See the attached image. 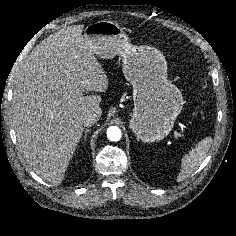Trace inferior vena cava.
Listing matches in <instances>:
<instances>
[{"label":"inferior vena cava","mask_w":236,"mask_h":236,"mask_svg":"<svg viewBox=\"0 0 236 236\" xmlns=\"http://www.w3.org/2000/svg\"><path fill=\"white\" fill-rule=\"evenodd\" d=\"M100 116L93 112V111H88L86 113L83 114L82 116V124L85 127H89L92 126L93 124H95L98 120H99Z\"/></svg>","instance_id":"602c4592"}]
</instances>
